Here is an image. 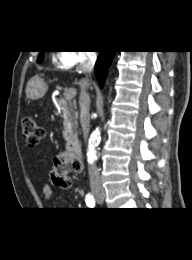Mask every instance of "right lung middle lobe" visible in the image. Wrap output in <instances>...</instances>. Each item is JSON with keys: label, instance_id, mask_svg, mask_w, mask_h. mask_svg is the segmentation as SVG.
Returning a JSON list of instances; mask_svg holds the SVG:
<instances>
[{"label": "right lung middle lobe", "instance_id": "right-lung-middle-lobe-1", "mask_svg": "<svg viewBox=\"0 0 192 260\" xmlns=\"http://www.w3.org/2000/svg\"><path fill=\"white\" fill-rule=\"evenodd\" d=\"M44 57V51H40L39 57H38V62L42 61Z\"/></svg>", "mask_w": 192, "mask_h": 260}]
</instances>
